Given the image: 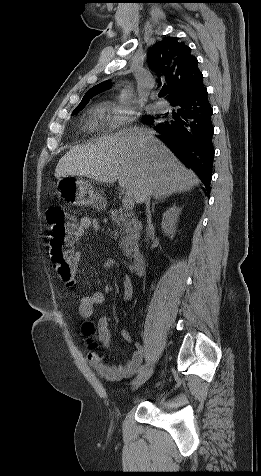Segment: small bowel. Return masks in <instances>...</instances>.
Segmentation results:
<instances>
[{
  "label": "small bowel",
  "instance_id": "obj_1",
  "mask_svg": "<svg viewBox=\"0 0 261 476\" xmlns=\"http://www.w3.org/2000/svg\"><path fill=\"white\" fill-rule=\"evenodd\" d=\"M98 232L100 230V222L96 218L84 217L77 226L75 233L76 240H81L88 230ZM82 259L81 252L76 251L72 254L71 264L76 268ZM117 267V263L113 259H109L104 263V268L111 269ZM123 299L125 302H130L133 298V285L128 276L122 278ZM105 302V297L100 292H93L89 295H84L80 298L79 315L84 321V327L89 330L86 335L92 340L101 343L105 348L112 349L113 341L109 330L108 318L105 315L100 316L96 322L92 321L95 309L97 306ZM121 337L127 341H132V336L127 330L121 331ZM88 359L91 366L107 380L117 381L126 377L134 375L142 366L143 348L140 344L135 343V350L132 353L131 359L123 365L111 366L103 362L100 355L91 350L88 353Z\"/></svg>",
  "mask_w": 261,
  "mask_h": 476
}]
</instances>
